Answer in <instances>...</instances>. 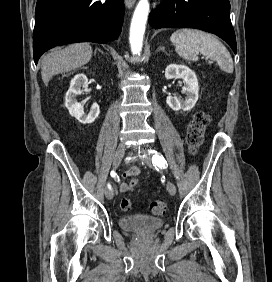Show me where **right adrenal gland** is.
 <instances>
[{"label":"right adrenal gland","mask_w":272,"mask_h":282,"mask_svg":"<svg viewBox=\"0 0 272 282\" xmlns=\"http://www.w3.org/2000/svg\"><path fill=\"white\" fill-rule=\"evenodd\" d=\"M98 51H100L103 54V52L100 49H98ZM96 52H97V50L95 51V54H96Z\"/></svg>","instance_id":"obj_1"}]
</instances>
